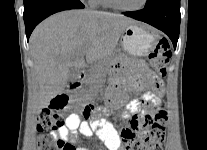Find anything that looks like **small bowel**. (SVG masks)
<instances>
[{"mask_svg":"<svg viewBox=\"0 0 207 150\" xmlns=\"http://www.w3.org/2000/svg\"><path fill=\"white\" fill-rule=\"evenodd\" d=\"M139 69L141 75L136 77H119L113 80L111 88L107 93V104L111 109H118L126 105L128 114V124L132 127V121L137 120L139 126L137 131L141 129L142 124L139 121L138 114L145 119L148 114L151 118L153 111H142L141 100H133L128 102L127 97L122 93L125 88H133L137 91L145 89L147 82L150 85L149 77H157L149 74L144 65H140ZM164 94L163 84L161 87H156V96L154 99H160ZM80 133L84 137H91L96 134L98 138L103 142L108 150H121L122 137L116 128L109 122L103 119H91L90 121H81L78 114L72 113L68 116L65 124L59 127L56 131L52 132L53 137H58L63 142H76V134ZM74 146V145H73ZM74 150H89L85 146H74Z\"/></svg>","mask_w":207,"mask_h":150,"instance_id":"small-bowel-1","label":"small bowel"}]
</instances>
